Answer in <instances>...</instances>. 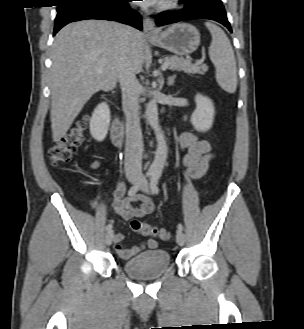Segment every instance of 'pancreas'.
Wrapping results in <instances>:
<instances>
[{
	"label": "pancreas",
	"mask_w": 304,
	"mask_h": 329,
	"mask_svg": "<svg viewBox=\"0 0 304 329\" xmlns=\"http://www.w3.org/2000/svg\"><path fill=\"white\" fill-rule=\"evenodd\" d=\"M165 62L168 63V67L171 70L184 71L188 74H205L208 71L207 65L199 62L192 63L190 58H178L175 56L165 57Z\"/></svg>",
	"instance_id": "cf45deb5"
}]
</instances>
